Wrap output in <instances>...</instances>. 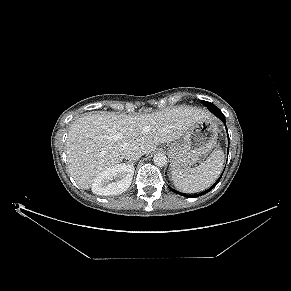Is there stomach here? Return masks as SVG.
I'll list each match as a JSON object with an SVG mask.
<instances>
[{
    "mask_svg": "<svg viewBox=\"0 0 291 291\" xmlns=\"http://www.w3.org/2000/svg\"><path fill=\"white\" fill-rule=\"evenodd\" d=\"M218 124L213 118L195 123L177 141L168 146L173 170H186L207 155L217 143Z\"/></svg>",
    "mask_w": 291,
    "mask_h": 291,
    "instance_id": "1",
    "label": "stomach"
}]
</instances>
